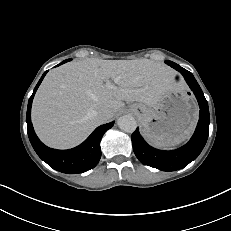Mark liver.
I'll return each mask as SVG.
<instances>
[{"mask_svg": "<svg viewBox=\"0 0 231 231\" xmlns=\"http://www.w3.org/2000/svg\"><path fill=\"white\" fill-rule=\"evenodd\" d=\"M174 76L172 68L149 59L67 63L50 71L40 85L32 105L34 129L50 147H74L102 124L100 111L107 110L112 118L124 101L153 107L177 86Z\"/></svg>", "mask_w": 231, "mask_h": 231, "instance_id": "6515ba94", "label": "liver"}]
</instances>
